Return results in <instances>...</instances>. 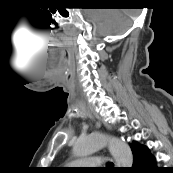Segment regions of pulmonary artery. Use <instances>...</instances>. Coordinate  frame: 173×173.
I'll return each instance as SVG.
<instances>
[{
  "label": "pulmonary artery",
  "mask_w": 173,
  "mask_h": 173,
  "mask_svg": "<svg viewBox=\"0 0 173 173\" xmlns=\"http://www.w3.org/2000/svg\"><path fill=\"white\" fill-rule=\"evenodd\" d=\"M73 164L76 166H83V167L90 168L91 166L101 165L102 161L100 160V158L87 157V158H82L77 161H74Z\"/></svg>",
  "instance_id": "e3ab8cb5"
}]
</instances>
